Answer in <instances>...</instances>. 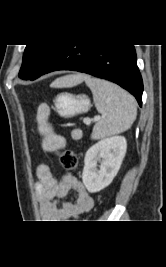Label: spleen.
Instances as JSON below:
<instances>
[{
	"label": "spleen",
	"instance_id": "1",
	"mask_svg": "<svg viewBox=\"0 0 166 267\" xmlns=\"http://www.w3.org/2000/svg\"><path fill=\"white\" fill-rule=\"evenodd\" d=\"M86 84L93 93L95 106L103 119L95 124L92 139H100L128 130L137 116L135 99L117 85L98 78H86ZM43 134V148L54 150L65 146V139L53 133L43 120H40Z\"/></svg>",
	"mask_w": 166,
	"mask_h": 267
}]
</instances>
